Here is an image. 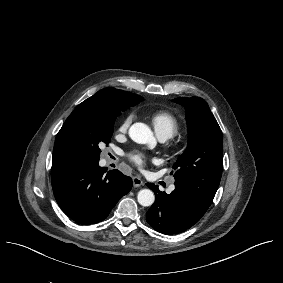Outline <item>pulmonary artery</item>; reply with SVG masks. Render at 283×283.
Segmentation results:
<instances>
[{"mask_svg": "<svg viewBox=\"0 0 283 283\" xmlns=\"http://www.w3.org/2000/svg\"><path fill=\"white\" fill-rule=\"evenodd\" d=\"M160 140H161V141H164L165 139L162 138V137H160ZM174 190H175V185H174V182L171 181L170 184H169V186H168V188H167V192H168V193H171V192H173Z\"/></svg>", "mask_w": 283, "mask_h": 283, "instance_id": "e3ab8cb5", "label": "pulmonary artery"}]
</instances>
